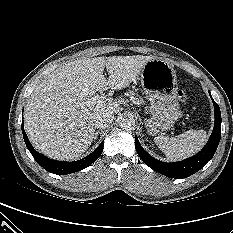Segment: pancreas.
<instances>
[{
	"label": "pancreas",
	"instance_id": "1",
	"mask_svg": "<svg viewBox=\"0 0 233 233\" xmlns=\"http://www.w3.org/2000/svg\"><path fill=\"white\" fill-rule=\"evenodd\" d=\"M127 95H128L133 101H137V100L135 99V97H134L135 94H134L132 91L127 92ZM138 102H139V100H138Z\"/></svg>",
	"mask_w": 233,
	"mask_h": 233
}]
</instances>
